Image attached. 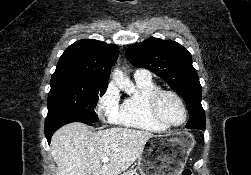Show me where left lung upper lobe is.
<instances>
[{"label": "left lung upper lobe", "mask_w": 251, "mask_h": 175, "mask_svg": "<svg viewBox=\"0 0 251 175\" xmlns=\"http://www.w3.org/2000/svg\"><path fill=\"white\" fill-rule=\"evenodd\" d=\"M126 57L135 67L146 68L164 79L185 100L187 107L203 109L201 85L189 51L172 40L151 37L131 45ZM187 128L205 130V119L187 123Z\"/></svg>", "instance_id": "1"}]
</instances>
